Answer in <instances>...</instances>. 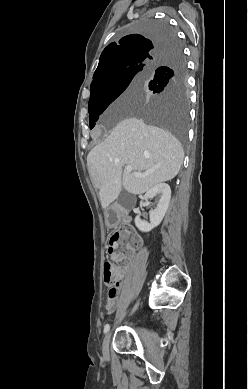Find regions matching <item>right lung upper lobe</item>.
Wrapping results in <instances>:
<instances>
[{
    "mask_svg": "<svg viewBox=\"0 0 248 389\" xmlns=\"http://www.w3.org/2000/svg\"><path fill=\"white\" fill-rule=\"evenodd\" d=\"M174 40L155 41L139 34L123 37L109 44L102 52L91 85L105 74L132 67L149 68L158 57L169 52Z\"/></svg>",
    "mask_w": 248,
    "mask_h": 389,
    "instance_id": "right-lung-upper-lobe-1",
    "label": "right lung upper lobe"
}]
</instances>
